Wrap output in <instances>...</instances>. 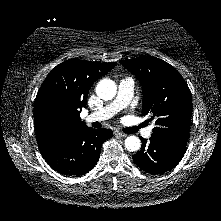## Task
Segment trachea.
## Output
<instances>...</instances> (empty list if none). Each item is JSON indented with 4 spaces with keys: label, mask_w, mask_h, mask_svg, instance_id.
I'll return each mask as SVG.
<instances>
[{
    "label": "trachea",
    "mask_w": 221,
    "mask_h": 221,
    "mask_svg": "<svg viewBox=\"0 0 221 221\" xmlns=\"http://www.w3.org/2000/svg\"><path fill=\"white\" fill-rule=\"evenodd\" d=\"M144 127V124H141L139 126L136 127H128L124 129L125 133H135L137 132L140 128Z\"/></svg>",
    "instance_id": "obj_1"
}]
</instances>
